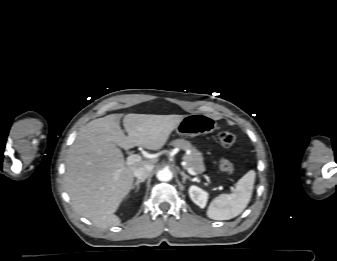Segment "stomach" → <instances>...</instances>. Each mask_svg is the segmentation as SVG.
<instances>
[{"label":"stomach","mask_w":337,"mask_h":261,"mask_svg":"<svg viewBox=\"0 0 337 261\" xmlns=\"http://www.w3.org/2000/svg\"><path fill=\"white\" fill-rule=\"evenodd\" d=\"M175 129L180 135L196 137L212 133L216 129V122L207 114L195 113L185 115Z\"/></svg>","instance_id":"stomach-1"}]
</instances>
